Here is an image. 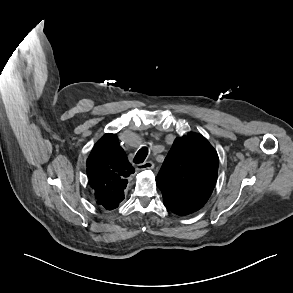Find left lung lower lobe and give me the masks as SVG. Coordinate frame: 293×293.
<instances>
[{
    "mask_svg": "<svg viewBox=\"0 0 293 293\" xmlns=\"http://www.w3.org/2000/svg\"><path fill=\"white\" fill-rule=\"evenodd\" d=\"M163 203L168 210L172 211L173 213H175L177 215L184 216V215L190 214V212L187 211L186 209H183L179 206H176L170 202L163 201Z\"/></svg>",
    "mask_w": 293,
    "mask_h": 293,
    "instance_id": "obj_1",
    "label": "left lung lower lobe"
}]
</instances>
